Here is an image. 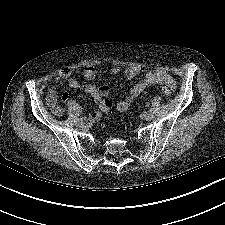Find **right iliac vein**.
I'll list each match as a JSON object with an SVG mask.
<instances>
[{"mask_svg":"<svg viewBox=\"0 0 225 225\" xmlns=\"http://www.w3.org/2000/svg\"><path fill=\"white\" fill-rule=\"evenodd\" d=\"M78 127L79 128H85V122L84 121L78 122Z\"/></svg>","mask_w":225,"mask_h":225,"instance_id":"right-iliac-vein-1","label":"right iliac vein"}]
</instances>
